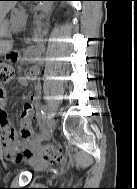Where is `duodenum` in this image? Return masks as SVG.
<instances>
[{"mask_svg":"<svg viewBox=\"0 0 137 189\" xmlns=\"http://www.w3.org/2000/svg\"><path fill=\"white\" fill-rule=\"evenodd\" d=\"M33 56H37L39 54V50L37 48L32 49Z\"/></svg>","mask_w":137,"mask_h":189,"instance_id":"410a0bca","label":"duodenum"}]
</instances>
